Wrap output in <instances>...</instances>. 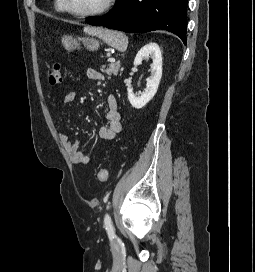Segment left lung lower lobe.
I'll use <instances>...</instances> for the list:
<instances>
[{
	"mask_svg": "<svg viewBox=\"0 0 255 272\" xmlns=\"http://www.w3.org/2000/svg\"><path fill=\"white\" fill-rule=\"evenodd\" d=\"M188 0H116L105 16L87 19L93 26L132 32L167 30L186 42Z\"/></svg>",
	"mask_w": 255,
	"mask_h": 272,
	"instance_id": "left-lung-lower-lobe-1",
	"label": "left lung lower lobe"
}]
</instances>
